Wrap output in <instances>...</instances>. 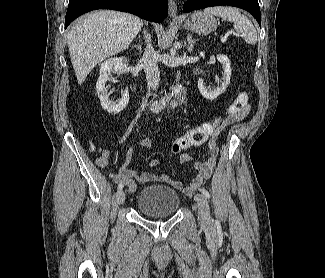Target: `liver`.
<instances>
[{"label": "liver", "instance_id": "obj_1", "mask_svg": "<svg viewBox=\"0 0 325 278\" xmlns=\"http://www.w3.org/2000/svg\"><path fill=\"white\" fill-rule=\"evenodd\" d=\"M142 26L139 17L111 10L95 11L75 21L67 45L78 84L101 61L128 48Z\"/></svg>", "mask_w": 325, "mask_h": 278}]
</instances>
